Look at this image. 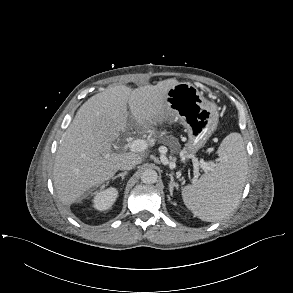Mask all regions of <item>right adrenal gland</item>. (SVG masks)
Segmentation results:
<instances>
[{
  "mask_svg": "<svg viewBox=\"0 0 293 293\" xmlns=\"http://www.w3.org/2000/svg\"><path fill=\"white\" fill-rule=\"evenodd\" d=\"M126 175H127V172L120 173V174L114 176V177L112 178V180H115L116 178H119V177H121L122 180H124V177H125Z\"/></svg>",
  "mask_w": 293,
  "mask_h": 293,
  "instance_id": "2a0ac1e0",
  "label": "right adrenal gland"
}]
</instances>
